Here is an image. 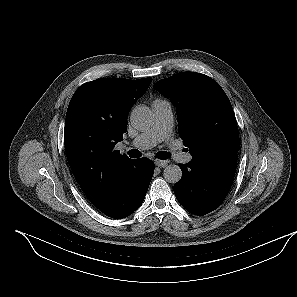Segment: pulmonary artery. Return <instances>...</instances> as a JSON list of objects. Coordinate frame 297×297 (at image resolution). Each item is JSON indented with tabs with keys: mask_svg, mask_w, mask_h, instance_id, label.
<instances>
[{
	"mask_svg": "<svg viewBox=\"0 0 297 297\" xmlns=\"http://www.w3.org/2000/svg\"><path fill=\"white\" fill-rule=\"evenodd\" d=\"M154 122L152 126L139 134L131 144L140 149L152 148L160 142H168L174 126L172 105L168 100L156 99L152 102ZM171 155L179 162H189L192 155L172 147Z\"/></svg>",
	"mask_w": 297,
	"mask_h": 297,
	"instance_id": "e3ab8cb5",
	"label": "pulmonary artery"
}]
</instances>
